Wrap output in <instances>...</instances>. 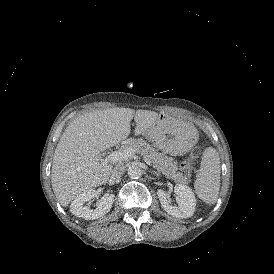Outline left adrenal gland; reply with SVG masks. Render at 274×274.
Here are the masks:
<instances>
[{"instance_id":"1","label":"left adrenal gland","mask_w":274,"mask_h":274,"mask_svg":"<svg viewBox=\"0 0 274 274\" xmlns=\"http://www.w3.org/2000/svg\"><path fill=\"white\" fill-rule=\"evenodd\" d=\"M151 173L156 174L157 176L160 175V174H159L158 172H156V171H151Z\"/></svg>"}]
</instances>
